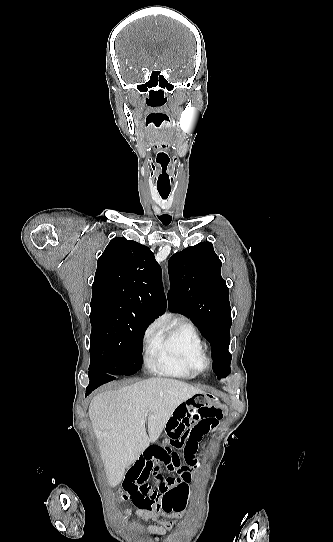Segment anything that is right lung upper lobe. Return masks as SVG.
<instances>
[{
  "label": "right lung upper lobe",
  "mask_w": 333,
  "mask_h": 542,
  "mask_svg": "<svg viewBox=\"0 0 333 542\" xmlns=\"http://www.w3.org/2000/svg\"><path fill=\"white\" fill-rule=\"evenodd\" d=\"M113 308L143 315L152 322L165 312L162 271L150 249L117 237L99 257L92 284L91 309Z\"/></svg>",
  "instance_id": "1"
}]
</instances>
